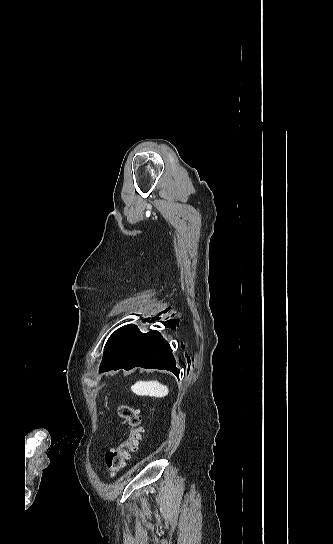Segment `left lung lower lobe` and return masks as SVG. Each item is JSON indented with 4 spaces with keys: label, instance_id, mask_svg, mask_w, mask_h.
Segmentation results:
<instances>
[{
    "label": "left lung lower lobe",
    "instance_id": "obj_1",
    "mask_svg": "<svg viewBox=\"0 0 333 544\" xmlns=\"http://www.w3.org/2000/svg\"><path fill=\"white\" fill-rule=\"evenodd\" d=\"M167 326L173 328L174 324L170 323ZM136 366L169 370L176 376L179 375L172 349L157 331L141 334L128 348L120 349L112 345L101 363L100 372L120 368L130 370Z\"/></svg>",
    "mask_w": 333,
    "mask_h": 544
}]
</instances>
